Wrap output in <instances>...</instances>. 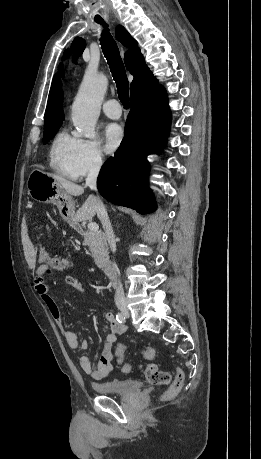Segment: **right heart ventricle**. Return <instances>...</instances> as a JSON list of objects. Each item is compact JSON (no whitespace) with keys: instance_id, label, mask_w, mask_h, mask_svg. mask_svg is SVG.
I'll return each mask as SVG.
<instances>
[{"instance_id":"obj_1","label":"right heart ventricle","mask_w":261,"mask_h":459,"mask_svg":"<svg viewBox=\"0 0 261 459\" xmlns=\"http://www.w3.org/2000/svg\"><path fill=\"white\" fill-rule=\"evenodd\" d=\"M77 138L66 130L59 131L53 138L49 149L51 168L63 177L76 179L74 158L77 149Z\"/></svg>"}]
</instances>
